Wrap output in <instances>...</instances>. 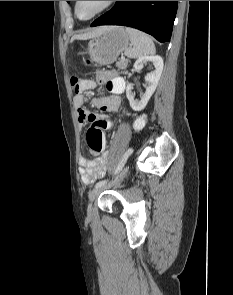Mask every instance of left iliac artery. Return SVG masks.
Instances as JSON below:
<instances>
[{
  "instance_id": "44dca946",
  "label": "left iliac artery",
  "mask_w": 233,
  "mask_h": 295,
  "mask_svg": "<svg viewBox=\"0 0 233 295\" xmlns=\"http://www.w3.org/2000/svg\"><path fill=\"white\" fill-rule=\"evenodd\" d=\"M132 149L127 150V152H124V155L122 156V161L120 162V164H118V168L115 171V174L118 173L120 171V169H124V165L127 163L128 161V157H131L132 155ZM107 183V180H102L99 181L96 185L95 188L103 186Z\"/></svg>"
}]
</instances>
